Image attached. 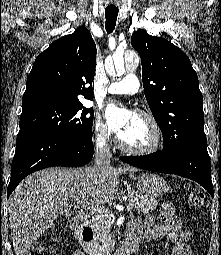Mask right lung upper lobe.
I'll list each match as a JSON object with an SVG mask.
<instances>
[{"instance_id": "1", "label": "right lung upper lobe", "mask_w": 221, "mask_h": 255, "mask_svg": "<svg viewBox=\"0 0 221 255\" xmlns=\"http://www.w3.org/2000/svg\"><path fill=\"white\" fill-rule=\"evenodd\" d=\"M95 67L96 45L85 27L59 38L36 58L27 78L23 110L93 99Z\"/></svg>"}]
</instances>
